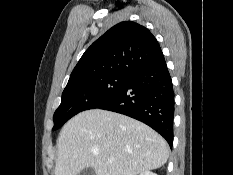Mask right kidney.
I'll return each mask as SVG.
<instances>
[{
    "label": "right kidney",
    "instance_id": "1",
    "mask_svg": "<svg viewBox=\"0 0 233 175\" xmlns=\"http://www.w3.org/2000/svg\"><path fill=\"white\" fill-rule=\"evenodd\" d=\"M140 175H157V174L150 172V171H146V172L141 173Z\"/></svg>",
    "mask_w": 233,
    "mask_h": 175
}]
</instances>
